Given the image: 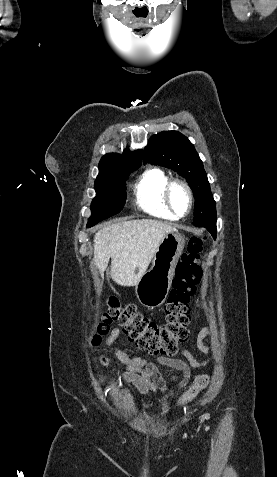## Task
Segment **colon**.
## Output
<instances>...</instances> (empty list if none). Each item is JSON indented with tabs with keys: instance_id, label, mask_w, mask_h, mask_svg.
I'll list each match as a JSON object with an SVG mask.
<instances>
[{
	"instance_id": "1",
	"label": "colon",
	"mask_w": 277,
	"mask_h": 477,
	"mask_svg": "<svg viewBox=\"0 0 277 477\" xmlns=\"http://www.w3.org/2000/svg\"><path fill=\"white\" fill-rule=\"evenodd\" d=\"M204 237L192 236L180 262L165 306L166 322L159 325L138 312L133 304L123 305L117 298H110L108 308L100 313L94 342L108 332L112 322L122 326L123 331L138 348L153 355L172 356L180 343L189 338L190 299L200 282L202 270L200 254ZM208 384L207 375H198L194 384L179 399L183 405L192 401Z\"/></svg>"
}]
</instances>
